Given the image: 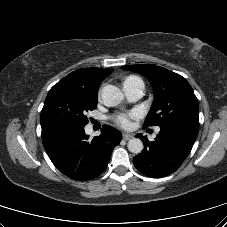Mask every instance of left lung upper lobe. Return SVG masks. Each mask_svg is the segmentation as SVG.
<instances>
[{"label": "left lung upper lobe", "instance_id": "1", "mask_svg": "<svg viewBox=\"0 0 227 227\" xmlns=\"http://www.w3.org/2000/svg\"><path fill=\"white\" fill-rule=\"evenodd\" d=\"M122 68L144 75L153 86L154 101L143 128L168 124L199 127L198 100L184 77L155 65L141 64Z\"/></svg>", "mask_w": 227, "mask_h": 227}]
</instances>
